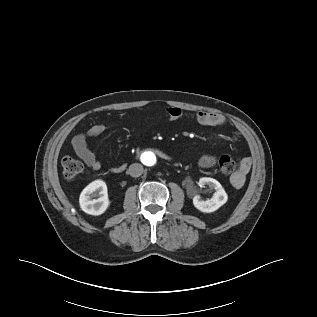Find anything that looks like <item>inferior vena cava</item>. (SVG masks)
Masks as SVG:
<instances>
[{
	"instance_id": "obj_1",
	"label": "inferior vena cava",
	"mask_w": 317,
	"mask_h": 317,
	"mask_svg": "<svg viewBox=\"0 0 317 317\" xmlns=\"http://www.w3.org/2000/svg\"><path fill=\"white\" fill-rule=\"evenodd\" d=\"M144 169L143 166L139 163H133L129 166L128 174L132 177H139L142 175Z\"/></svg>"
}]
</instances>
